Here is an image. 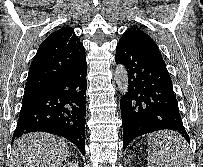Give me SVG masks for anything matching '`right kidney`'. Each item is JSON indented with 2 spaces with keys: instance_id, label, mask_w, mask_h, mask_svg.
<instances>
[{
  "instance_id": "obj_1",
  "label": "right kidney",
  "mask_w": 203,
  "mask_h": 167,
  "mask_svg": "<svg viewBox=\"0 0 203 167\" xmlns=\"http://www.w3.org/2000/svg\"><path fill=\"white\" fill-rule=\"evenodd\" d=\"M63 167H79L76 162H68L66 165Z\"/></svg>"
}]
</instances>
